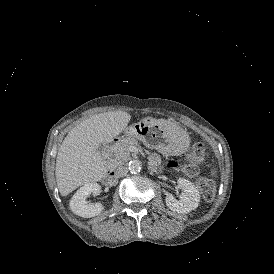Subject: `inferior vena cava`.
I'll use <instances>...</instances> for the list:
<instances>
[{
	"instance_id": "1",
	"label": "inferior vena cava",
	"mask_w": 274,
	"mask_h": 274,
	"mask_svg": "<svg viewBox=\"0 0 274 274\" xmlns=\"http://www.w3.org/2000/svg\"><path fill=\"white\" fill-rule=\"evenodd\" d=\"M128 173V168L125 166H119L116 171H115V175L117 177H123Z\"/></svg>"
}]
</instances>
